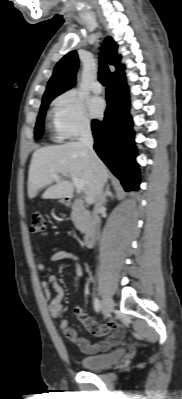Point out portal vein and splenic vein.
Returning <instances> with one entry per match:
<instances>
[{"instance_id": "portal-vein-and-splenic-vein-1", "label": "portal vein and splenic vein", "mask_w": 182, "mask_h": 399, "mask_svg": "<svg viewBox=\"0 0 182 399\" xmlns=\"http://www.w3.org/2000/svg\"><path fill=\"white\" fill-rule=\"evenodd\" d=\"M59 175H57V174H55L54 176H53V178L55 179V180H58L59 179ZM72 181H73V184L75 185V187L79 190V191H84L85 190V184H84V182L82 181V180H80V179H78L77 177H72Z\"/></svg>"}]
</instances>
